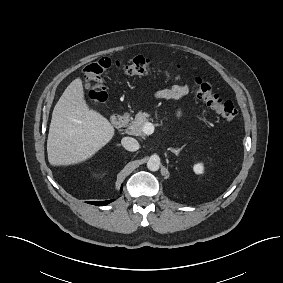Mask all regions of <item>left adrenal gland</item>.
I'll list each match as a JSON object with an SVG mask.
<instances>
[{
  "mask_svg": "<svg viewBox=\"0 0 283 283\" xmlns=\"http://www.w3.org/2000/svg\"><path fill=\"white\" fill-rule=\"evenodd\" d=\"M185 145H183L182 147L178 148V149H170L171 152H173L176 156H179V153L182 151V149L184 148Z\"/></svg>",
  "mask_w": 283,
  "mask_h": 283,
  "instance_id": "a2214340",
  "label": "left adrenal gland"
}]
</instances>
